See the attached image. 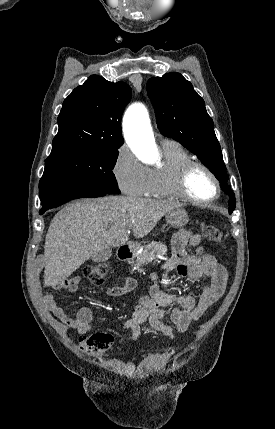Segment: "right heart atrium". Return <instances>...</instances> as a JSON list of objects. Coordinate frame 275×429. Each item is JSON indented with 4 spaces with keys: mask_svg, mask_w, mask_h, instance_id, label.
I'll use <instances>...</instances> for the list:
<instances>
[{
    "mask_svg": "<svg viewBox=\"0 0 275 429\" xmlns=\"http://www.w3.org/2000/svg\"><path fill=\"white\" fill-rule=\"evenodd\" d=\"M112 171L122 192L130 196L146 195L150 185V169L128 146L122 145L118 148Z\"/></svg>",
    "mask_w": 275,
    "mask_h": 429,
    "instance_id": "1",
    "label": "right heart atrium"
}]
</instances>
